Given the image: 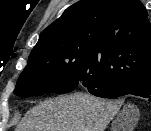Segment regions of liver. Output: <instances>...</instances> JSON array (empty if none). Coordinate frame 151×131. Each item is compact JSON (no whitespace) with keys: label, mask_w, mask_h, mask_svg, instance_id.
<instances>
[{"label":"liver","mask_w":151,"mask_h":131,"mask_svg":"<svg viewBox=\"0 0 151 131\" xmlns=\"http://www.w3.org/2000/svg\"><path fill=\"white\" fill-rule=\"evenodd\" d=\"M119 109L116 101L86 93L59 96L31 108L15 131H105Z\"/></svg>","instance_id":"liver-1"}]
</instances>
